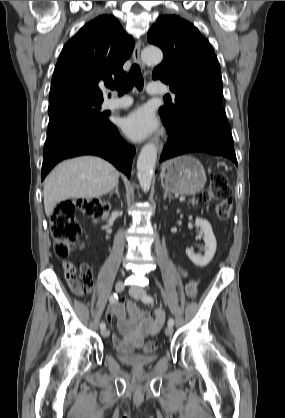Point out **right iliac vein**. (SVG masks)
I'll list each match as a JSON object with an SVG mask.
<instances>
[{"label": "right iliac vein", "instance_id": "obj_1", "mask_svg": "<svg viewBox=\"0 0 285 418\" xmlns=\"http://www.w3.org/2000/svg\"><path fill=\"white\" fill-rule=\"evenodd\" d=\"M123 289H124V283L122 282V281H118L116 284H115V290L117 291V292H122L123 291ZM101 334H102V336L103 337H108L109 336V334H110V332H109V330L108 329H103V330H101Z\"/></svg>", "mask_w": 285, "mask_h": 418}]
</instances>
